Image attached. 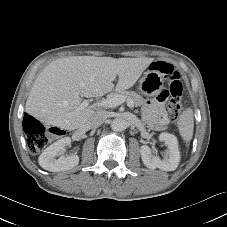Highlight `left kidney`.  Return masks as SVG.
Returning <instances> with one entry per match:
<instances>
[{
  "instance_id": "5707ae66",
  "label": "left kidney",
  "mask_w": 227,
  "mask_h": 227,
  "mask_svg": "<svg viewBox=\"0 0 227 227\" xmlns=\"http://www.w3.org/2000/svg\"><path fill=\"white\" fill-rule=\"evenodd\" d=\"M159 139L167 145L164 158L160 159L158 156L153 155L150 147L143 145L140 148L142 161L150 169L159 168L163 171H173L180 162L177 138L173 134L163 132L159 135Z\"/></svg>"
}]
</instances>
